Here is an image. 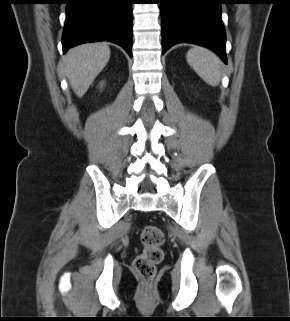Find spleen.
I'll return each mask as SVG.
<instances>
[{
  "mask_svg": "<svg viewBox=\"0 0 290 321\" xmlns=\"http://www.w3.org/2000/svg\"><path fill=\"white\" fill-rule=\"evenodd\" d=\"M187 62L207 84L217 86L220 83L221 62L213 52L194 47L187 53Z\"/></svg>",
  "mask_w": 290,
  "mask_h": 321,
  "instance_id": "1",
  "label": "spleen"
}]
</instances>
